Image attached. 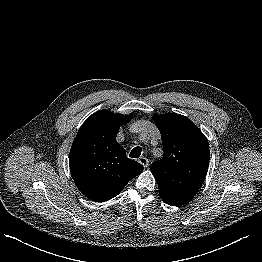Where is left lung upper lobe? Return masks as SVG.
Segmentation results:
<instances>
[{"label":"left lung upper lobe","instance_id":"left-lung-upper-lobe-1","mask_svg":"<svg viewBox=\"0 0 262 262\" xmlns=\"http://www.w3.org/2000/svg\"><path fill=\"white\" fill-rule=\"evenodd\" d=\"M164 155L150 169L159 194L169 205L191 201L201 187L209 165V144L203 133L187 117L167 113L154 115Z\"/></svg>","mask_w":262,"mask_h":262}]
</instances>
